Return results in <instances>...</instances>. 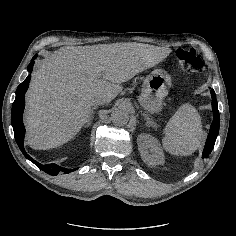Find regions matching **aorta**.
<instances>
[{"label":"aorta","instance_id":"obj_1","mask_svg":"<svg viewBox=\"0 0 236 236\" xmlns=\"http://www.w3.org/2000/svg\"><path fill=\"white\" fill-rule=\"evenodd\" d=\"M111 119L114 125L116 126H124L129 121V113L124 108H117L113 110L111 114Z\"/></svg>","mask_w":236,"mask_h":236}]
</instances>
